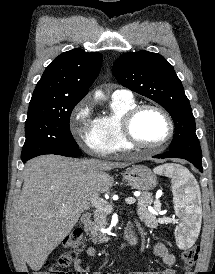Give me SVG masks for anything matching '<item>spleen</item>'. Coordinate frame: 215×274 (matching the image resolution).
<instances>
[{"mask_svg": "<svg viewBox=\"0 0 215 274\" xmlns=\"http://www.w3.org/2000/svg\"><path fill=\"white\" fill-rule=\"evenodd\" d=\"M154 172L172 179L174 208L180 216V223L175 229L176 241L181 247L192 245L200 231L196 212L200 189L196 179L188 169L176 164L158 166Z\"/></svg>", "mask_w": 215, "mask_h": 274, "instance_id": "3e777b00", "label": "spleen"}]
</instances>
